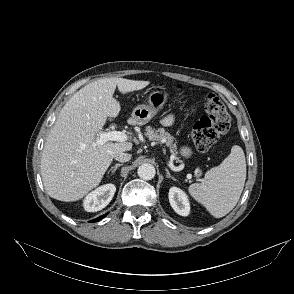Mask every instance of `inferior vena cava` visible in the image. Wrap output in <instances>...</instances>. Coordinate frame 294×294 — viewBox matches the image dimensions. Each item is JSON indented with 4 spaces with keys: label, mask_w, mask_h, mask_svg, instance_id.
Segmentation results:
<instances>
[{
    "label": "inferior vena cava",
    "mask_w": 294,
    "mask_h": 294,
    "mask_svg": "<svg viewBox=\"0 0 294 294\" xmlns=\"http://www.w3.org/2000/svg\"><path fill=\"white\" fill-rule=\"evenodd\" d=\"M131 154L124 153V152H118L114 155V159L119 162H127L131 159Z\"/></svg>",
    "instance_id": "inferior-vena-cava-1"
}]
</instances>
